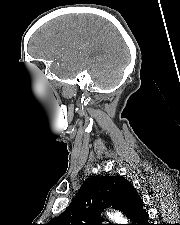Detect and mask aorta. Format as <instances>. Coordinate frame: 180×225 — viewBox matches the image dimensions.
<instances>
[{"mask_svg":"<svg viewBox=\"0 0 180 225\" xmlns=\"http://www.w3.org/2000/svg\"><path fill=\"white\" fill-rule=\"evenodd\" d=\"M107 215L116 224H127L128 223V220L126 218H124L123 215L119 212H108Z\"/></svg>","mask_w":180,"mask_h":225,"instance_id":"1","label":"aorta"}]
</instances>
